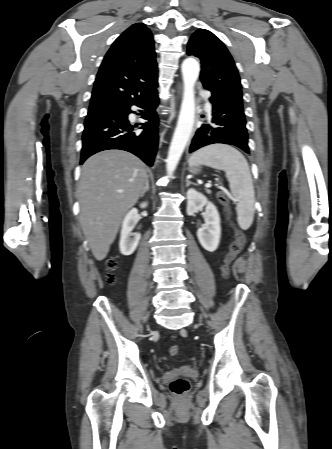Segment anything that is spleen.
<instances>
[{"label": "spleen", "mask_w": 332, "mask_h": 449, "mask_svg": "<svg viewBox=\"0 0 332 449\" xmlns=\"http://www.w3.org/2000/svg\"><path fill=\"white\" fill-rule=\"evenodd\" d=\"M188 163L190 166L205 165L225 172L230 190L238 201V224L243 230H247L254 219L255 193L245 157L229 145L214 144L193 153Z\"/></svg>", "instance_id": "spleen-1"}]
</instances>
